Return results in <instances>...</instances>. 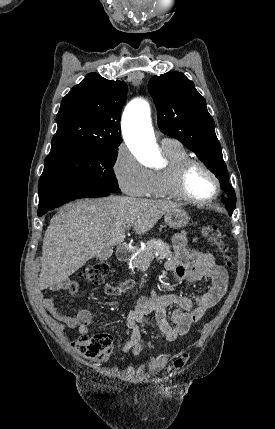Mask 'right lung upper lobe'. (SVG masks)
Segmentation results:
<instances>
[{"label":"right lung upper lobe","instance_id":"cb5924a9","mask_svg":"<svg viewBox=\"0 0 275 429\" xmlns=\"http://www.w3.org/2000/svg\"><path fill=\"white\" fill-rule=\"evenodd\" d=\"M128 87L89 73L62 99L51 151L63 148L118 147L120 115Z\"/></svg>","mask_w":275,"mask_h":429}]
</instances>
